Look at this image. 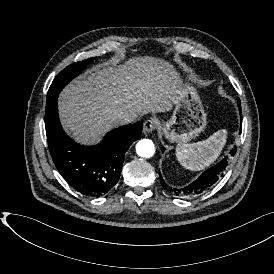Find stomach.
<instances>
[{"mask_svg": "<svg viewBox=\"0 0 274 274\" xmlns=\"http://www.w3.org/2000/svg\"><path fill=\"white\" fill-rule=\"evenodd\" d=\"M179 100L169 122H160L161 131L166 137L177 143H186L206 126V113L201 106L196 91L182 86Z\"/></svg>", "mask_w": 274, "mask_h": 274, "instance_id": "0dacf381", "label": "stomach"}]
</instances>
